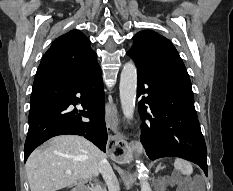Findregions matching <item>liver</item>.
<instances>
[{"label": "liver", "mask_w": 233, "mask_h": 191, "mask_svg": "<svg viewBox=\"0 0 233 191\" xmlns=\"http://www.w3.org/2000/svg\"><path fill=\"white\" fill-rule=\"evenodd\" d=\"M106 155L77 135H60L31 153L26 173L31 191H57L99 175V161ZM71 170V174H66Z\"/></svg>", "instance_id": "liver-1"}]
</instances>
